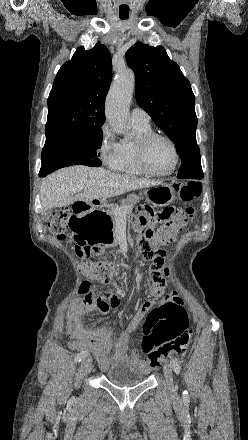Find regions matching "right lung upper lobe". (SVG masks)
Masks as SVG:
<instances>
[{
  "instance_id": "cb5924a9",
  "label": "right lung upper lobe",
  "mask_w": 248,
  "mask_h": 440,
  "mask_svg": "<svg viewBox=\"0 0 248 440\" xmlns=\"http://www.w3.org/2000/svg\"><path fill=\"white\" fill-rule=\"evenodd\" d=\"M112 81L108 49L79 47L58 71L48 97L46 140L84 134L105 122L104 103Z\"/></svg>"
}]
</instances>
